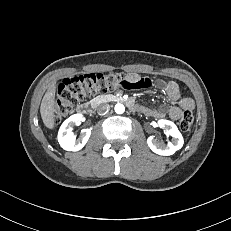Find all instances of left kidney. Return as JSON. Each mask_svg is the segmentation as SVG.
Listing matches in <instances>:
<instances>
[{
  "mask_svg": "<svg viewBox=\"0 0 231 231\" xmlns=\"http://www.w3.org/2000/svg\"><path fill=\"white\" fill-rule=\"evenodd\" d=\"M158 126L166 129L168 134L172 137V141L168 142L167 145H164L157 141L153 136L148 137L147 144L154 153L169 156L182 148L184 144L182 134L173 122L161 119L158 121Z\"/></svg>",
  "mask_w": 231,
  "mask_h": 231,
  "instance_id": "obj_1",
  "label": "left kidney"
}]
</instances>
